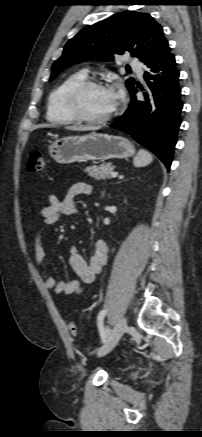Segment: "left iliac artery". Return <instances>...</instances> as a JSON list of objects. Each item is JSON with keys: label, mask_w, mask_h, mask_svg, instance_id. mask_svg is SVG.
Returning <instances> with one entry per match:
<instances>
[{"label": "left iliac artery", "mask_w": 202, "mask_h": 437, "mask_svg": "<svg viewBox=\"0 0 202 437\" xmlns=\"http://www.w3.org/2000/svg\"><path fill=\"white\" fill-rule=\"evenodd\" d=\"M106 313H107V310H105V309L101 310L98 314V319H97L98 329H99V333H100V336H101L103 343L106 342V339H107V333H106V330H105L104 325H103V319H104Z\"/></svg>", "instance_id": "left-iliac-artery-1"}]
</instances>
